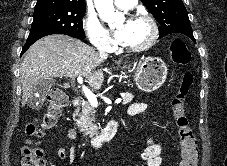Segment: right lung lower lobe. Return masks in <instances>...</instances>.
Listing matches in <instances>:
<instances>
[{
	"label": "right lung lower lobe",
	"mask_w": 227,
	"mask_h": 166,
	"mask_svg": "<svg viewBox=\"0 0 227 166\" xmlns=\"http://www.w3.org/2000/svg\"><path fill=\"white\" fill-rule=\"evenodd\" d=\"M73 37V36H72ZM42 38V37H41ZM76 38V37H75ZM40 39V38H38ZM38 39H34V40H29L26 42V44L24 45L23 49H22V52H21V55L24 54V52L34 43L36 42Z\"/></svg>",
	"instance_id": "98d812e1"
}]
</instances>
